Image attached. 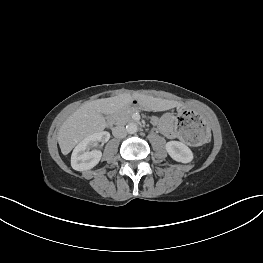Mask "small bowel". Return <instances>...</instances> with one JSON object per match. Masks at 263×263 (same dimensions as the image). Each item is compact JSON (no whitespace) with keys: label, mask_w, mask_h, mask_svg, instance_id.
Instances as JSON below:
<instances>
[{"label":"small bowel","mask_w":263,"mask_h":263,"mask_svg":"<svg viewBox=\"0 0 263 263\" xmlns=\"http://www.w3.org/2000/svg\"><path fill=\"white\" fill-rule=\"evenodd\" d=\"M153 121L167 138L174 139L179 137L182 139V137L175 130L174 118L171 114L166 113L160 118H155Z\"/></svg>","instance_id":"c3829d8e"}]
</instances>
